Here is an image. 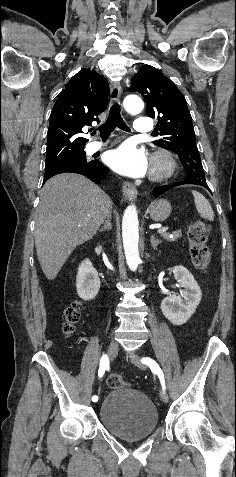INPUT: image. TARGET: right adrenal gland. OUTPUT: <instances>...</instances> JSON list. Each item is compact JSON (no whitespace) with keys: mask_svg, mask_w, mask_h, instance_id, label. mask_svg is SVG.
I'll list each match as a JSON object with an SVG mask.
<instances>
[{"mask_svg":"<svg viewBox=\"0 0 236 477\" xmlns=\"http://www.w3.org/2000/svg\"><path fill=\"white\" fill-rule=\"evenodd\" d=\"M111 229H112L111 215H109L104 222L103 228L100 229V232H103V231H106V230H111Z\"/></svg>","mask_w":236,"mask_h":477,"instance_id":"obj_1","label":"right adrenal gland"}]
</instances>
